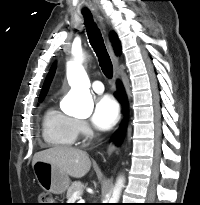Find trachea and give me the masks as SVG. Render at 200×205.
<instances>
[{
	"label": "trachea",
	"instance_id": "3493384b",
	"mask_svg": "<svg viewBox=\"0 0 200 205\" xmlns=\"http://www.w3.org/2000/svg\"><path fill=\"white\" fill-rule=\"evenodd\" d=\"M83 16L85 19L87 35L90 44L98 57L100 67L104 75L108 78H111L113 76V65L110 56L107 52V49L105 47L102 34L99 28L97 27L96 23L94 22L91 13H83Z\"/></svg>",
	"mask_w": 200,
	"mask_h": 205
}]
</instances>
